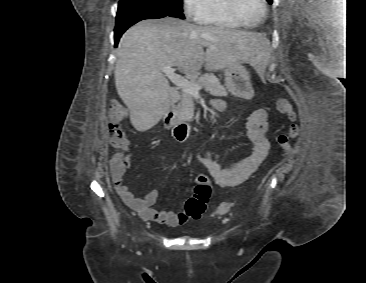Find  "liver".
Masks as SVG:
<instances>
[{
    "mask_svg": "<svg viewBox=\"0 0 366 283\" xmlns=\"http://www.w3.org/2000/svg\"><path fill=\"white\" fill-rule=\"evenodd\" d=\"M263 45V36L252 31L202 27L171 17L143 20L119 42L115 86L134 128L146 131L160 121L170 101L164 66L197 75L203 66L214 72L244 62L258 71Z\"/></svg>",
    "mask_w": 366,
    "mask_h": 283,
    "instance_id": "1",
    "label": "liver"
}]
</instances>
